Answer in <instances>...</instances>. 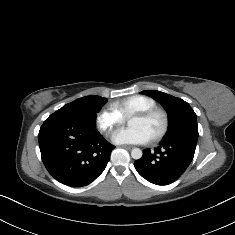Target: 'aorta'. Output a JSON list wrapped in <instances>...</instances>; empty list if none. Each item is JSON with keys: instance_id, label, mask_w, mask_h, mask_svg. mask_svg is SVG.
<instances>
[{"instance_id": "aorta-1", "label": "aorta", "mask_w": 235, "mask_h": 235, "mask_svg": "<svg viewBox=\"0 0 235 235\" xmlns=\"http://www.w3.org/2000/svg\"><path fill=\"white\" fill-rule=\"evenodd\" d=\"M143 153H142V150L139 149V148H134L132 149L131 151V156L133 159H140L142 157Z\"/></svg>"}]
</instances>
